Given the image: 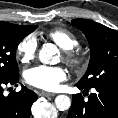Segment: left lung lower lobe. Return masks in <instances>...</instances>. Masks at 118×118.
Returning a JSON list of instances; mask_svg holds the SVG:
<instances>
[{
    "label": "left lung lower lobe",
    "mask_w": 118,
    "mask_h": 118,
    "mask_svg": "<svg viewBox=\"0 0 118 118\" xmlns=\"http://www.w3.org/2000/svg\"><path fill=\"white\" fill-rule=\"evenodd\" d=\"M84 93L89 89L77 85ZM88 100L81 94H74L67 118H118V83L93 87Z\"/></svg>",
    "instance_id": "obj_1"
}]
</instances>
